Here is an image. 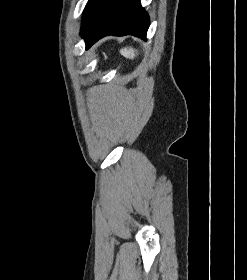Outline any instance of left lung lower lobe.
I'll list each match as a JSON object with an SVG mask.
<instances>
[{
  "instance_id": "left-lung-lower-lobe-1",
  "label": "left lung lower lobe",
  "mask_w": 247,
  "mask_h": 280,
  "mask_svg": "<svg viewBox=\"0 0 247 280\" xmlns=\"http://www.w3.org/2000/svg\"><path fill=\"white\" fill-rule=\"evenodd\" d=\"M149 16L140 0H101L82 25V37L89 49L107 35H134L146 39Z\"/></svg>"
}]
</instances>
